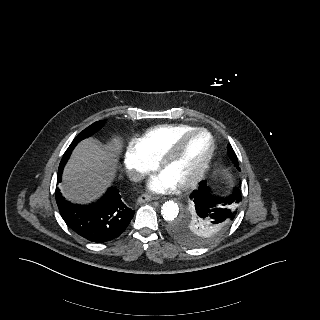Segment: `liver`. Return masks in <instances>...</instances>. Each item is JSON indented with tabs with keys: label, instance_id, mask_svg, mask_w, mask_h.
Returning a JSON list of instances; mask_svg holds the SVG:
<instances>
[{
	"label": "liver",
	"instance_id": "1",
	"mask_svg": "<svg viewBox=\"0 0 320 320\" xmlns=\"http://www.w3.org/2000/svg\"><path fill=\"white\" fill-rule=\"evenodd\" d=\"M120 142L114 138L104 149L94 140H84L74 149L62 174L63 197L73 203H86L96 198L115 175L116 154Z\"/></svg>",
	"mask_w": 320,
	"mask_h": 320
}]
</instances>
